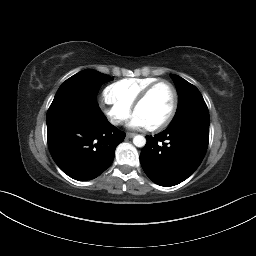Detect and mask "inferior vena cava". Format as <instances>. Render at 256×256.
<instances>
[{
	"mask_svg": "<svg viewBox=\"0 0 256 256\" xmlns=\"http://www.w3.org/2000/svg\"><path fill=\"white\" fill-rule=\"evenodd\" d=\"M112 123H113L114 125H118V124L121 123V121H120V120H113Z\"/></svg>",
	"mask_w": 256,
	"mask_h": 256,
	"instance_id": "602c4592",
	"label": "inferior vena cava"
}]
</instances>
